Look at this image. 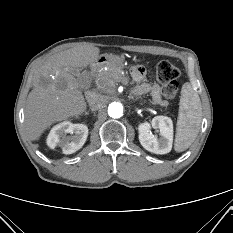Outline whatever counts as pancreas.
Here are the masks:
<instances>
[{"label":"pancreas","instance_id":"cf45deb5","mask_svg":"<svg viewBox=\"0 0 233 233\" xmlns=\"http://www.w3.org/2000/svg\"><path fill=\"white\" fill-rule=\"evenodd\" d=\"M123 71L118 67H109L108 70H103L96 75V80L99 86L104 91L113 89L117 82H127V78L123 75Z\"/></svg>","mask_w":233,"mask_h":233}]
</instances>
